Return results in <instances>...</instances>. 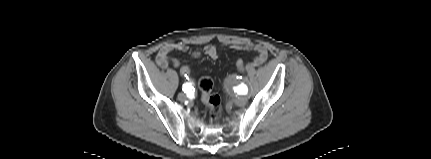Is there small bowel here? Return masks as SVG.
<instances>
[{
  "label": "small bowel",
  "mask_w": 431,
  "mask_h": 159,
  "mask_svg": "<svg viewBox=\"0 0 431 159\" xmlns=\"http://www.w3.org/2000/svg\"><path fill=\"white\" fill-rule=\"evenodd\" d=\"M231 47L236 50H247L256 52V57L251 62L245 64L246 70H250L262 65L268 57V52L266 48L260 44L244 43L233 45ZM173 51L186 52L188 51V45L183 42L169 43L164 45L157 54V64L162 68L168 67L169 64H172L174 67H179L180 62L176 58L170 56V53ZM204 53L210 58L215 59L218 56V49L214 45H208L205 47ZM192 56L194 58H197L200 56V53L194 52Z\"/></svg>",
  "instance_id": "small-bowel-1"
}]
</instances>
